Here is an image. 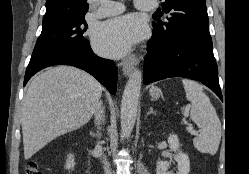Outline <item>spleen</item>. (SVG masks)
<instances>
[{
    "label": "spleen",
    "mask_w": 249,
    "mask_h": 174,
    "mask_svg": "<svg viewBox=\"0 0 249 174\" xmlns=\"http://www.w3.org/2000/svg\"><path fill=\"white\" fill-rule=\"evenodd\" d=\"M186 98L191 102L190 119L200 134L193 139L194 147L201 153L216 154L221 140V123L209 97L197 82L183 79Z\"/></svg>",
    "instance_id": "obj_1"
}]
</instances>
